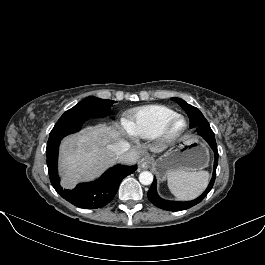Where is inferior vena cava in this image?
<instances>
[{"instance_id":"1","label":"inferior vena cava","mask_w":265,"mask_h":265,"mask_svg":"<svg viewBox=\"0 0 265 265\" xmlns=\"http://www.w3.org/2000/svg\"><path fill=\"white\" fill-rule=\"evenodd\" d=\"M107 148L115 160H125L130 149V144L127 141L119 140L114 144L108 145Z\"/></svg>"}]
</instances>
